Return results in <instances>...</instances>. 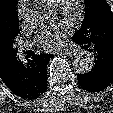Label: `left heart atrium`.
<instances>
[{"label":"left heart atrium","mask_w":113,"mask_h":113,"mask_svg":"<svg viewBox=\"0 0 113 113\" xmlns=\"http://www.w3.org/2000/svg\"><path fill=\"white\" fill-rule=\"evenodd\" d=\"M70 35V26L60 23L42 31L37 38L39 47L46 51L60 49L65 44V39Z\"/></svg>","instance_id":"obj_1"}]
</instances>
